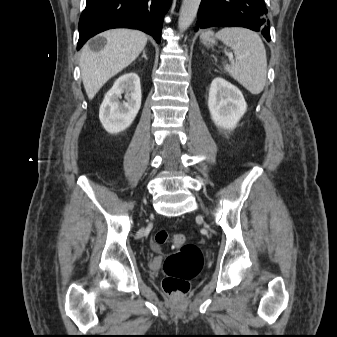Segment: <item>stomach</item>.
Here are the masks:
<instances>
[{
    "label": "stomach",
    "mask_w": 337,
    "mask_h": 337,
    "mask_svg": "<svg viewBox=\"0 0 337 337\" xmlns=\"http://www.w3.org/2000/svg\"><path fill=\"white\" fill-rule=\"evenodd\" d=\"M201 42L206 46V47H212L216 44V40L214 38V35L211 31H206L201 34L200 36Z\"/></svg>",
    "instance_id": "1"
}]
</instances>
